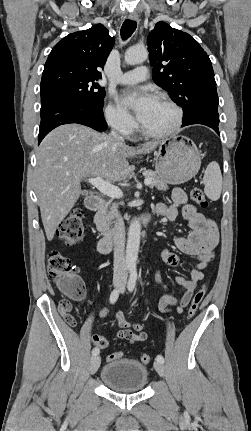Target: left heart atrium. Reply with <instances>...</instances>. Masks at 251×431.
I'll list each match as a JSON object with an SVG mask.
<instances>
[{
  "mask_svg": "<svg viewBox=\"0 0 251 431\" xmlns=\"http://www.w3.org/2000/svg\"><path fill=\"white\" fill-rule=\"evenodd\" d=\"M119 101L122 106L131 108L141 122L155 104L156 99L145 89L124 91Z\"/></svg>",
  "mask_w": 251,
  "mask_h": 431,
  "instance_id": "1",
  "label": "left heart atrium"
}]
</instances>
